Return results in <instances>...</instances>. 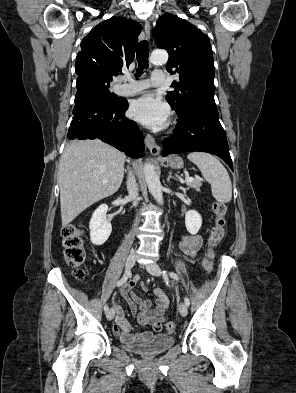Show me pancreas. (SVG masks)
Segmentation results:
<instances>
[{"mask_svg": "<svg viewBox=\"0 0 296 393\" xmlns=\"http://www.w3.org/2000/svg\"><path fill=\"white\" fill-rule=\"evenodd\" d=\"M186 184L189 187L194 188L196 191H200V187L202 186L201 179H195L194 181H186Z\"/></svg>", "mask_w": 296, "mask_h": 393, "instance_id": "pancreas-1", "label": "pancreas"}]
</instances>
